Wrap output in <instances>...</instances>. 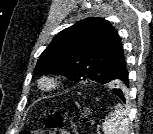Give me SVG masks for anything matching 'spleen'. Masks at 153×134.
I'll list each match as a JSON object with an SVG mask.
<instances>
[{
	"label": "spleen",
	"mask_w": 153,
	"mask_h": 134,
	"mask_svg": "<svg viewBox=\"0 0 153 134\" xmlns=\"http://www.w3.org/2000/svg\"><path fill=\"white\" fill-rule=\"evenodd\" d=\"M127 112L121 104L115 107V110L105 119L103 123L104 134H128L129 122L126 118Z\"/></svg>",
	"instance_id": "obj_1"
}]
</instances>
